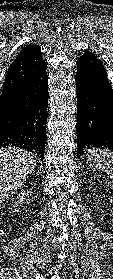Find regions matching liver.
<instances>
[{"label":"liver","mask_w":113,"mask_h":279,"mask_svg":"<svg viewBox=\"0 0 113 279\" xmlns=\"http://www.w3.org/2000/svg\"><path fill=\"white\" fill-rule=\"evenodd\" d=\"M36 155L19 148L0 149V203L10 198L33 172Z\"/></svg>","instance_id":"1"}]
</instances>
